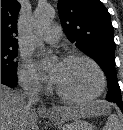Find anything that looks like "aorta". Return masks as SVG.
<instances>
[{"mask_svg":"<svg viewBox=\"0 0 123 130\" xmlns=\"http://www.w3.org/2000/svg\"><path fill=\"white\" fill-rule=\"evenodd\" d=\"M55 17V10L51 6H38L33 13V44L42 48L40 34L51 24Z\"/></svg>","mask_w":123,"mask_h":130,"instance_id":"aorta-1","label":"aorta"}]
</instances>
